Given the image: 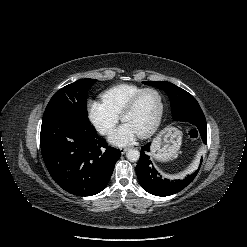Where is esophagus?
I'll return each mask as SVG.
<instances>
[{
	"label": "esophagus",
	"mask_w": 247,
	"mask_h": 247,
	"mask_svg": "<svg viewBox=\"0 0 247 247\" xmlns=\"http://www.w3.org/2000/svg\"><path fill=\"white\" fill-rule=\"evenodd\" d=\"M127 150H128L127 148H121L120 152H121V154H125Z\"/></svg>",
	"instance_id": "34e87169"
}]
</instances>
